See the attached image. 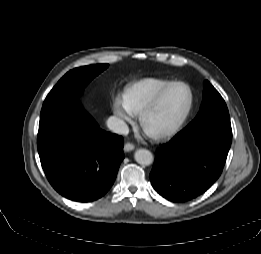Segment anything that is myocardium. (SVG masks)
<instances>
[{"label": "myocardium", "mask_w": 261, "mask_h": 254, "mask_svg": "<svg viewBox=\"0 0 261 254\" xmlns=\"http://www.w3.org/2000/svg\"><path fill=\"white\" fill-rule=\"evenodd\" d=\"M176 85H182L186 87L189 91L190 95V101L188 108L186 109L185 113L183 116L172 126L167 127V128H161V129H155V130H150L147 127V120L149 116L158 108L159 104L161 103L162 99L166 95V93L174 86ZM194 107V93L191 87L182 81H173L169 83L158 95L157 97L148 105L146 106L140 113L139 116V124L141 129L152 139H165L168 137H171L175 135L185 124L187 119L189 118L192 110Z\"/></svg>", "instance_id": "obj_1"}]
</instances>
